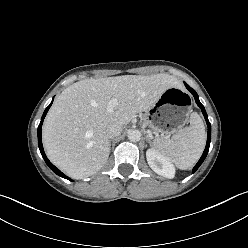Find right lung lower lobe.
I'll use <instances>...</instances> for the list:
<instances>
[{
	"instance_id": "1",
	"label": "right lung lower lobe",
	"mask_w": 248,
	"mask_h": 248,
	"mask_svg": "<svg viewBox=\"0 0 248 248\" xmlns=\"http://www.w3.org/2000/svg\"><path fill=\"white\" fill-rule=\"evenodd\" d=\"M52 102H53V100H52ZM52 102H51V104L45 109V111H44V113H43V116H42V118H41V122H40V124H39V126H38V146H39L41 155H42L43 159L45 160L46 164L49 166V168H50L53 172H55L57 175H59V176H61V177H63V178L69 179L67 176H65L60 170H58V169H57V168L48 160V158L46 157L45 152H44V150H43V145H42V140H41V127H42L43 120H44V118H45V116H46V114H47V112H48L50 106L52 105ZM69 180H70V179H69Z\"/></svg>"
}]
</instances>
